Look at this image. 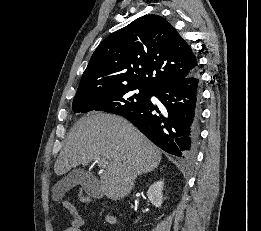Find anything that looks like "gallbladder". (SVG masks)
I'll return each instance as SVG.
<instances>
[{
  "instance_id": "1",
  "label": "gallbladder",
  "mask_w": 261,
  "mask_h": 231,
  "mask_svg": "<svg viewBox=\"0 0 261 231\" xmlns=\"http://www.w3.org/2000/svg\"><path fill=\"white\" fill-rule=\"evenodd\" d=\"M76 185H81L91 196H100L103 194L100 190L98 180L92 174L84 169L76 168L69 172L55 185L53 195L55 197H62L65 192L69 191Z\"/></svg>"
}]
</instances>
